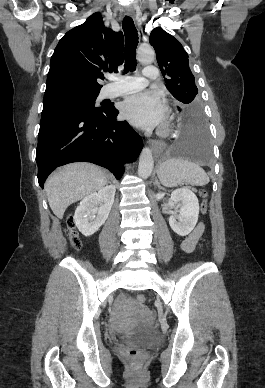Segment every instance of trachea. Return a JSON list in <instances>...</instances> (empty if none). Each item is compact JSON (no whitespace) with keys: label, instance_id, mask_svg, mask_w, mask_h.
Returning <instances> with one entry per match:
<instances>
[{"label":"trachea","instance_id":"obj_1","mask_svg":"<svg viewBox=\"0 0 265 388\" xmlns=\"http://www.w3.org/2000/svg\"><path fill=\"white\" fill-rule=\"evenodd\" d=\"M123 30L126 37L125 44V73L129 70L134 71L136 69L135 52L138 44V33L135 28L133 19L129 16H125L123 19Z\"/></svg>","mask_w":265,"mask_h":388}]
</instances>
